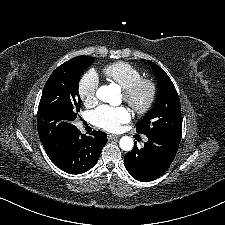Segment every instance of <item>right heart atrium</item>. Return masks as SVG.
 Returning <instances> with one entry per match:
<instances>
[{
  "label": "right heart atrium",
  "mask_w": 225,
  "mask_h": 225,
  "mask_svg": "<svg viewBox=\"0 0 225 225\" xmlns=\"http://www.w3.org/2000/svg\"><path fill=\"white\" fill-rule=\"evenodd\" d=\"M99 78L94 70L86 71L78 84V95L86 106H93L98 101Z\"/></svg>",
  "instance_id": "right-heart-atrium-1"
}]
</instances>
